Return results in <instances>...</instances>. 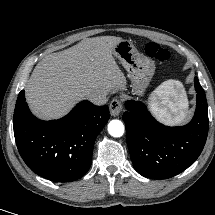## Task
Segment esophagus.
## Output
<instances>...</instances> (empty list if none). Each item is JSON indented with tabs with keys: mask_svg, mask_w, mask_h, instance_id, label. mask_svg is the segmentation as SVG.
<instances>
[{
	"mask_svg": "<svg viewBox=\"0 0 215 215\" xmlns=\"http://www.w3.org/2000/svg\"><path fill=\"white\" fill-rule=\"evenodd\" d=\"M112 116H118L122 111V102L118 98H114L109 105Z\"/></svg>",
	"mask_w": 215,
	"mask_h": 215,
	"instance_id": "34e87169",
	"label": "esophagus"
}]
</instances>
